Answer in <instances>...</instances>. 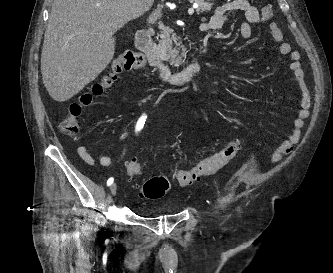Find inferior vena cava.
Returning <instances> with one entry per match:
<instances>
[{
    "label": "inferior vena cava",
    "mask_w": 333,
    "mask_h": 273,
    "mask_svg": "<svg viewBox=\"0 0 333 273\" xmlns=\"http://www.w3.org/2000/svg\"><path fill=\"white\" fill-rule=\"evenodd\" d=\"M134 6H136V7H139V6H140V2H139V0H134Z\"/></svg>",
    "instance_id": "obj_1"
}]
</instances>
